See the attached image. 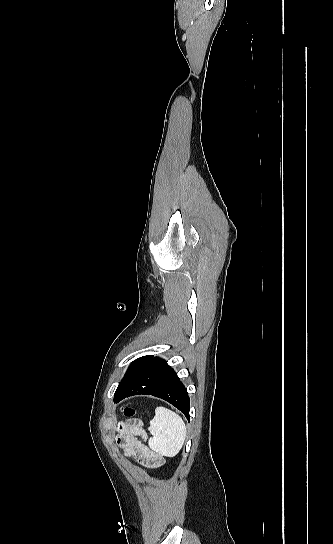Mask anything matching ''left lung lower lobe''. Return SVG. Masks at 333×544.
<instances>
[{
    "label": "left lung lower lobe",
    "mask_w": 333,
    "mask_h": 544,
    "mask_svg": "<svg viewBox=\"0 0 333 544\" xmlns=\"http://www.w3.org/2000/svg\"><path fill=\"white\" fill-rule=\"evenodd\" d=\"M139 394L166 400L189 420V397L185 386L165 360L152 357L123 389L115 392L114 402Z\"/></svg>",
    "instance_id": "0a47b994"
}]
</instances>
